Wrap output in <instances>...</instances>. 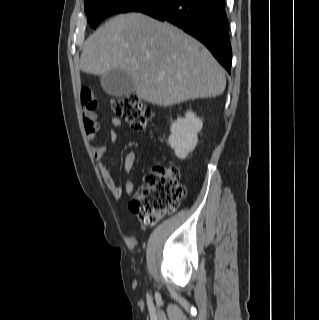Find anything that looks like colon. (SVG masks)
<instances>
[{"mask_svg":"<svg viewBox=\"0 0 319 320\" xmlns=\"http://www.w3.org/2000/svg\"><path fill=\"white\" fill-rule=\"evenodd\" d=\"M114 111L136 132L147 130L152 119L150 108L137 96L126 95L113 99ZM186 197L178 169L173 165H154L145 184L129 204L140 223L154 225L159 219L175 211Z\"/></svg>","mask_w":319,"mask_h":320,"instance_id":"5ec220e1","label":"colon"}]
</instances>
